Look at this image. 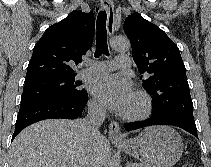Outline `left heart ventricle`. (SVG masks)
Instances as JSON below:
<instances>
[{
    "label": "left heart ventricle",
    "mask_w": 211,
    "mask_h": 167,
    "mask_svg": "<svg viewBox=\"0 0 211 167\" xmlns=\"http://www.w3.org/2000/svg\"><path fill=\"white\" fill-rule=\"evenodd\" d=\"M138 109L136 101L132 98L127 110L125 112H134Z\"/></svg>",
    "instance_id": "obj_1"
}]
</instances>
